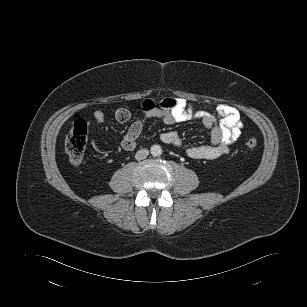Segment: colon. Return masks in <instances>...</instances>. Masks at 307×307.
<instances>
[{
    "instance_id": "5ec220e1",
    "label": "colon",
    "mask_w": 307,
    "mask_h": 307,
    "mask_svg": "<svg viewBox=\"0 0 307 307\" xmlns=\"http://www.w3.org/2000/svg\"><path fill=\"white\" fill-rule=\"evenodd\" d=\"M88 127L84 120L74 122L72 129L65 139V150L71 163L79 164L82 162L87 145ZM246 149L253 150L257 146V140L249 137L244 143Z\"/></svg>"
}]
</instances>
